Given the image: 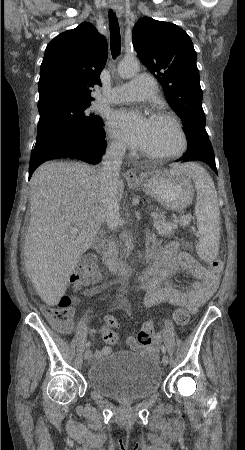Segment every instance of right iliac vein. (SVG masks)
<instances>
[{"mask_svg":"<svg viewBox=\"0 0 245 450\" xmlns=\"http://www.w3.org/2000/svg\"><path fill=\"white\" fill-rule=\"evenodd\" d=\"M84 357H85L86 360H89L90 357H91V351H90V350H87V351L85 352V354H84Z\"/></svg>","mask_w":245,"mask_h":450,"instance_id":"obj_1","label":"right iliac vein"}]
</instances>
